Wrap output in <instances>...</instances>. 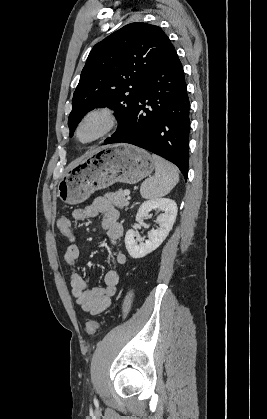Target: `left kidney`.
<instances>
[{"label":"left kidney","instance_id":"left-kidney-1","mask_svg":"<svg viewBox=\"0 0 267 419\" xmlns=\"http://www.w3.org/2000/svg\"><path fill=\"white\" fill-rule=\"evenodd\" d=\"M153 209L161 210L163 213L155 220L159 228L148 232V240L140 242L138 234L133 229L128 230L125 235L126 249L132 258H142L157 249L172 230L177 216L175 201L169 198H155L143 202L138 209L136 221L148 216Z\"/></svg>","mask_w":267,"mask_h":419}]
</instances>
